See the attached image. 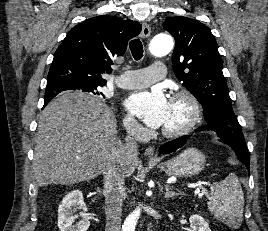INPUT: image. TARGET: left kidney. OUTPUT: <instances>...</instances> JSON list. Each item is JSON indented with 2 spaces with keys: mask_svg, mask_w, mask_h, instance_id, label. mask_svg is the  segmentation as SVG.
Segmentation results:
<instances>
[{
  "mask_svg": "<svg viewBox=\"0 0 268 231\" xmlns=\"http://www.w3.org/2000/svg\"><path fill=\"white\" fill-rule=\"evenodd\" d=\"M191 231H211L208 223L199 214H194L189 218Z\"/></svg>",
  "mask_w": 268,
  "mask_h": 231,
  "instance_id": "1",
  "label": "left kidney"
}]
</instances>
